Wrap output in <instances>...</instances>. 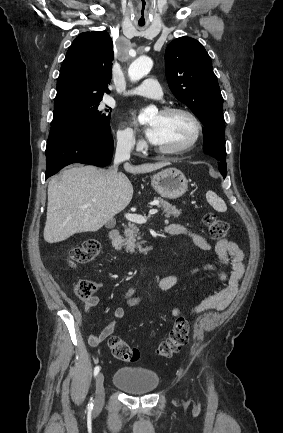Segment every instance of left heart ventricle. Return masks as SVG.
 Returning a JSON list of instances; mask_svg holds the SVG:
<instances>
[{
	"instance_id": "obj_1",
	"label": "left heart ventricle",
	"mask_w": 283,
	"mask_h": 433,
	"mask_svg": "<svg viewBox=\"0 0 283 433\" xmlns=\"http://www.w3.org/2000/svg\"><path fill=\"white\" fill-rule=\"evenodd\" d=\"M159 133L157 149L175 150L186 145L194 136V122L185 114L163 115L158 113L151 121Z\"/></svg>"
}]
</instances>
